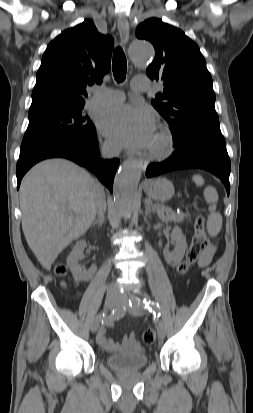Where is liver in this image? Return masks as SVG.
<instances>
[{
    "label": "liver",
    "instance_id": "obj_1",
    "mask_svg": "<svg viewBox=\"0 0 253 413\" xmlns=\"http://www.w3.org/2000/svg\"><path fill=\"white\" fill-rule=\"evenodd\" d=\"M101 185L65 159H49L27 172L20 186L22 229L28 246L46 269L92 225Z\"/></svg>",
    "mask_w": 253,
    "mask_h": 413
}]
</instances>
